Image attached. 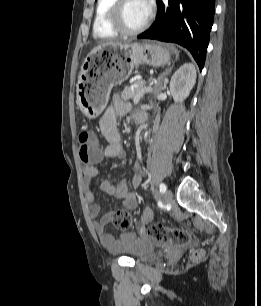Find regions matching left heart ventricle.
Wrapping results in <instances>:
<instances>
[{"mask_svg":"<svg viewBox=\"0 0 261 306\" xmlns=\"http://www.w3.org/2000/svg\"><path fill=\"white\" fill-rule=\"evenodd\" d=\"M148 10L142 0H127L123 9V18L130 28L139 27L147 18Z\"/></svg>","mask_w":261,"mask_h":306,"instance_id":"obj_1","label":"left heart ventricle"}]
</instances>
